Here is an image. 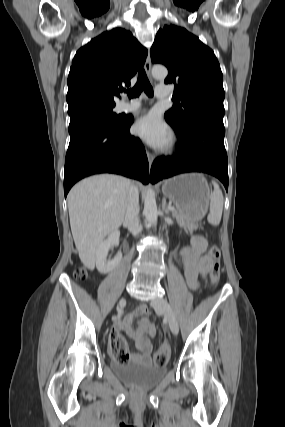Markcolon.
<instances>
[{
  "label": "colon",
  "instance_id": "1",
  "mask_svg": "<svg viewBox=\"0 0 285 427\" xmlns=\"http://www.w3.org/2000/svg\"><path fill=\"white\" fill-rule=\"evenodd\" d=\"M209 257L211 259L210 280L216 286L221 277L220 249L217 245H213L209 249ZM76 278L83 280L87 273L83 268L76 272ZM110 353L119 362H126L129 357V350L126 341L119 335H111L110 337ZM170 355V350L167 346H160L153 355V362L156 366H165Z\"/></svg>",
  "mask_w": 285,
  "mask_h": 427
}]
</instances>
